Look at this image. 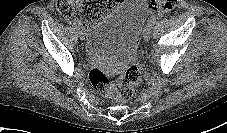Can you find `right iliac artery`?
Here are the masks:
<instances>
[{
  "label": "right iliac artery",
  "instance_id": "82829eb1",
  "mask_svg": "<svg viewBox=\"0 0 227 133\" xmlns=\"http://www.w3.org/2000/svg\"><path fill=\"white\" fill-rule=\"evenodd\" d=\"M72 26H73L75 29H80L79 24L77 23V21H73V22H72Z\"/></svg>",
  "mask_w": 227,
  "mask_h": 133
}]
</instances>
